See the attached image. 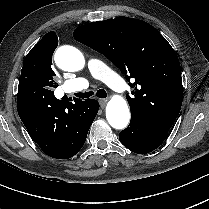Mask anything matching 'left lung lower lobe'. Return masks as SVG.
Wrapping results in <instances>:
<instances>
[{
  "instance_id": "1",
  "label": "left lung lower lobe",
  "mask_w": 209,
  "mask_h": 209,
  "mask_svg": "<svg viewBox=\"0 0 209 209\" xmlns=\"http://www.w3.org/2000/svg\"><path fill=\"white\" fill-rule=\"evenodd\" d=\"M167 135V130L154 126L136 114H131L130 124L120 132L119 140L129 150L146 154L158 148Z\"/></svg>"
}]
</instances>
